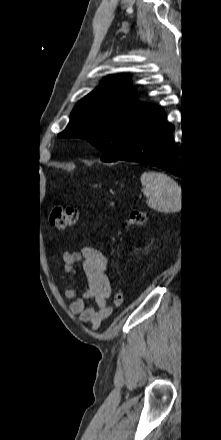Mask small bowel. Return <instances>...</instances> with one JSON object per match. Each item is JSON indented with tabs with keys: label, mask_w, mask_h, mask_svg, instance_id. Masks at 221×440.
I'll list each match as a JSON object with an SVG mask.
<instances>
[{
	"label": "small bowel",
	"mask_w": 221,
	"mask_h": 440,
	"mask_svg": "<svg viewBox=\"0 0 221 440\" xmlns=\"http://www.w3.org/2000/svg\"><path fill=\"white\" fill-rule=\"evenodd\" d=\"M76 262L81 263L86 290L79 294L75 289L69 288L65 290L64 295L71 300L70 311L79 314L82 321L96 329L111 313L107 305V299L112 292L108 277L109 259L105 253L93 247H84L80 252L63 254L62 268L66 273L78 275L79 272L74 266ZM86 300H91L93 304L86 306Z\"/></svg>",
	"instance_id": "small-bowel-1"
}]
</instances>
